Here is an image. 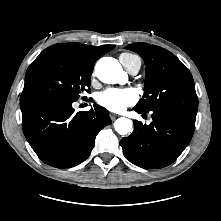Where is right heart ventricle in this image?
Here are the masks:
<instances>
[{
  "label": "right heart ventricle",
  "instance_id": "right-heart-ventricle-1",
  "mask_svg": "<svg viewBox=\"0 0 221 221\" xmlns=\"http://www.w3.org/2000/svg\"><path fill=\"white\" fill-rule=\"evenodd\" d=\"M138 57L131 53H122L119 57L121 63L125 64L131 60L137 59Z\"/></svg>",
  "mask_w": 221,
  "mask_h": 221
}]
</instances>
